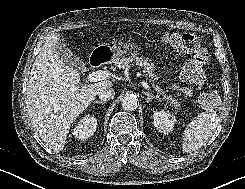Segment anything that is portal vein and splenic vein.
Here are the masks:
<instances>
[{"mask_svg": "<svg viewBox=\"0 0 245 189\" xmlns=\"http://www.w3.org/2000/svg\"><path fill=\"white\" fill-rule=\"evenodd\" d=\"M110 76H111L110 72L99 70V71L92 72L91 74L88 75L87 78L89 82H97V81L108 79ZM142 85L146 89H150V87L145 81L142 82Z\"/></svg>", "mask_w": 245, "mask_h": 189, "instance_id": "portal-vein-and-splenic-vein-1", "label": "portal vein and splenic vein"}]
</instances>
